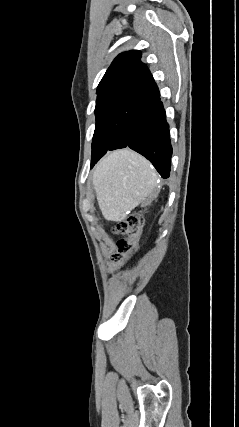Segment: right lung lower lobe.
<instances>
[{
    "instance_id": "obj_1",
    "label": "right lung lower lobe",
    "mask_w": 239,
    "mask_h": 427,
    "mask_svg": "<svg viewBox=\"0 0 239 427\" xmlns=\"http://www.w3.org/2000/svg\"><path fill=\"white\" fill-rule=\"evenodd\" d=\"M148 103V108L135 122L124 147L146 157L161 177L168 178L172 156L169 125L160 95L148 99Z\"/></svg>"
}]
</instances>
